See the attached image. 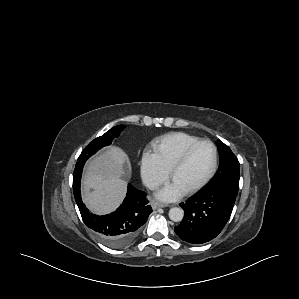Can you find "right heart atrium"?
Segmentation results:
<instances>
[{
    "label": "right heart atrium",
    "instance_id": "1",
    "mask_svg": "<svg viewBox=\"0 0 299 299\" xmlns=\"http://www.w3.org/2000/svg\"><path fill=\"white\" fill-rule=\"evenodd\" d=\"M140 173L144 184L156 188L168 178V171L160 164L154 153L145 151L140 161Z\"/></svg>",
    "mask_w": 299,
    "mask_h": 299
}]
</instances>
